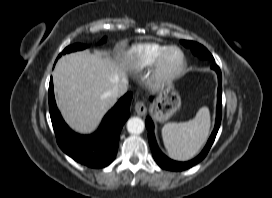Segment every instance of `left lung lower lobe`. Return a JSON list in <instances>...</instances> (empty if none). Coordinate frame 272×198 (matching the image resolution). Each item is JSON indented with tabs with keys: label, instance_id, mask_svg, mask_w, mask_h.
<instances>
[{
	"label": "left lung lower lobe",
	"instance_id": "obj_1",
	"mask_svg": "<svg viewBox=\"0 0 272 198\" xmlns=\"http://www.w3.org/2000/svg\"><path fill=\"white\" fill-rule=\"evenodd\" d=\"M212 69H214L218 74V94H217V115H216V123L215 128L205 146L203 151L193 160L188 162H177L169 159L166 157L158 148L155 137H154V127L153 123L150 119V117L146 118V127L148 130V139L150 143V147L152 150V154L154 156L155 161L158 163V165L164 169L173 170V171H182L185 169H188L194 165H196L198 162H200L208 153L209 149L211 148L216 134L218 132L220 123H221V112H222V77H221V71L220 68L217 65H213Z\"/></svg>",
	"mask_w": 272,
	"mask_h": 198
}]
</instances>
